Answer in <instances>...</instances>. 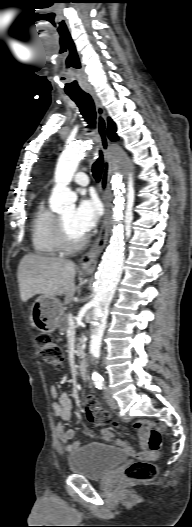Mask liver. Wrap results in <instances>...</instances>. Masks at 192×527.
Masks as SVG:
<instances>
[{
	"instance_id": "liver-1",
	"label": "liver",
	"mask_w": 192,
	"mask_h": 527,
	"mask_svg": "<svg viewBox=\"0 0 192 527\" xmlns=\"http://www.w3.org/2000/svg\"><path fill=\"white\" fill-rule=\"evenodd\" d=\"M75 268L71 260L25 255L17 272L21 300L26 302L37 294L45 297L64 295V303L69 304L76 292Z\"/></svg>"
}]
</instances>
